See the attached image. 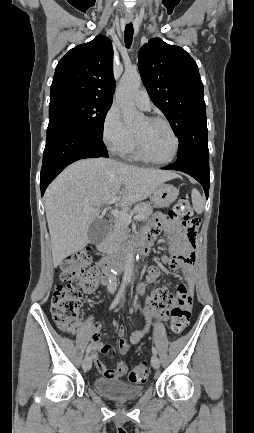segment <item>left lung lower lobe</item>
<instances>
[{"label": "left lung lower lobe", "mask_w": 254, "mask_h": 433, "mask_svg": "<svg viewBox=\"0 0 254 433\" xmlns=\"http://www.w3.org/2000/svg\"><path fill=\"white\" fill-rule=\"evenodd\" d=\"M162 169L182 171L194 177L202 185L208 198L210 185L208 146L192 147L178 155V159L173 164Z\"/></svg>", "instance_id": "0a47b994"}]
</instances>
